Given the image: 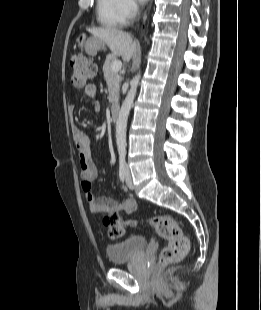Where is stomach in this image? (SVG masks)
Here are the masks:
<instances>
[{
    "label": "stomach",
    "instance_id": "stomach-1",
    "mask_svg": "<svg viewBox=\"0 0 261 310\" xmlns=\"http://www.w3.org/2000/svg\"><path fill=\"white\" fill-rule=\"evenodd\" d=\"M78 42L89 56H95L99 50L105 49V43L95 37H82L78 39Z\"/></svg>",
    "mask_w": 261,
    "mask_h": 310
}]
</instances>
